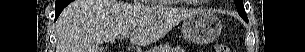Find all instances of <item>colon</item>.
<instances>
[{"label":"colon","mask_w":305,"mask_h":52,"mask_svg":"<svg viewBox=\"0 0 305 52\" xmlns=\"http://www.w3.org/2000/svg\"><path fill=\"white\" fill-rule=\"evenodd\" d=\"M214 50L215 52H230V48L223 43L215 44Z\"/></svg>","instance_id":"5ec220e1"}]
</instances>
